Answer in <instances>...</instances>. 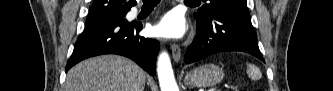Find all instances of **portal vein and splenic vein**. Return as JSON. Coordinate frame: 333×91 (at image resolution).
<instances>
[{"instance_id":"1","label":"portal vein and splenic vein","mask_w":333,"mask_h":91,"mask_svg":"<svg viewBox=\"0 0 333 91\" xmlns=\"http://www.w3.org/2000/svg\"><path fill=\"white\" fill-rule=\"evenodd\" d=\"M208 91H216V88L208 89Z\"/></svg>"}]
</instances>
